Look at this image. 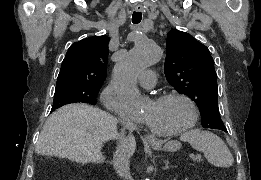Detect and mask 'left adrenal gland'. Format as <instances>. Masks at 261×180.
<instances>
[{
  "instance_id": "left-adrenal-gland-1",
  "label": "left adrenal gland",
  "mask_w": 261,
  "mask_h": 180,
  "mask_svg": "<svg viewBox=\"0 0 261 180\" xmlns=\"http://www.w3.org/2000/svg\"><path fill=\"white\" fill-rule=\"evenodd\" d=\"M163 162H164V166L162 170H169V160H163Z\"/></svg>"
}]
</instances>
